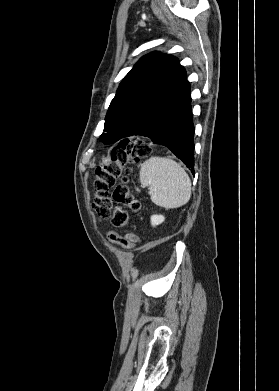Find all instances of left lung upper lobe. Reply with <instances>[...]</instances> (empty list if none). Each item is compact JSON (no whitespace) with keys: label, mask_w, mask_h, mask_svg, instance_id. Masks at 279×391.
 <instances>
[{"label":"left lung upper lobe","mask_w":279,"mask_h":391,"mask_svg":"<svg viewBox=\"0 0 279 391\" xmlns=\"http://www.w3.org/2000/svg\"><path fill=\"white\" fill-rule=\"evenodd\" d=\"M189 87L177 58L160 52L143 56L120 83L100 140L111 144L137 134Z\"/></svg>","instance_id":"1"}]
</instances>
